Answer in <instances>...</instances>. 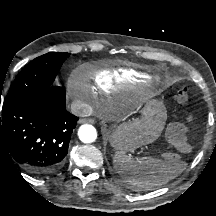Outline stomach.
I'll use <instances>...</instances> for the list:
<instances>
[{
  "label": "stomach",
  "mask_w": 216,
  "mask_h": 216,
  "mask_svg": "<svg viewBox=\"0 0 216 216\" xmlns=\"http://www.w3.org/2000/svg\"><path fill=\"white\" fill-rule=\"evenodd\" d=\"M167 119V111L162 101L148 99L141 109L140 119L117 125L111 135V145L122 152L152 143L159 138Z\"/></svg>",
  "instance_id": "stomach-1"
}]
</instances>
